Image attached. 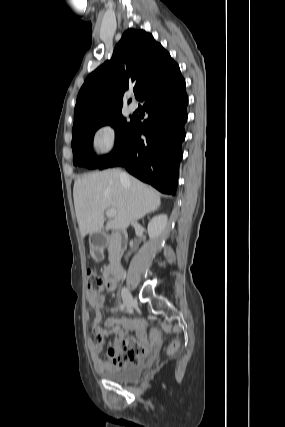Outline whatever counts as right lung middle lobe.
I'll use <instances>...</instances> for the list:
<instances>
[{"label": "right lung middle lobe", "mask_w": 285, "mask_h": 427, "mask_svg": "<svg viewBox=\"0 0 285 427\" xmlns=\"http://www.w3.org/2000/svg\"><path fill=\"white\" fill-rule=\"evenodd\" d=\"M130 118L127 122L121 111H117L72 130L73 164L93 169L103 163L124 141L134 123V117ZM107 124L116 131L115 148L109 155L97 159L92 153V139L95 131Z\"/></svg>", "instance_id": "obj_1"}]
</instances>
